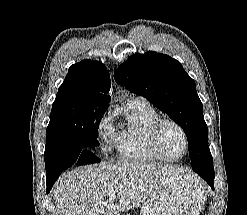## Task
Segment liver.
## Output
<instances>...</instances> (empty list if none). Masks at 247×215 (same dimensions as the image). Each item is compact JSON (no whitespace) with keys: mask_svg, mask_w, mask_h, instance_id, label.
<instances>
[{"mask_svg":"<svg viewBox=\"0 0 247 215\" xmlns=\"http://www.w3.org/2000/svg\"><path fill=\"white\" fill-rule=\"evenodd\" d=\"M183 173V168L160 163L88 165L63 174L52 192L60 215H120L140 206L168 180ZM111 193L116 195L113 200Z\"/></svg>","mask_w":247,"mask_h":215,"instance_id":"1","label":"liver"}]
</instances>
